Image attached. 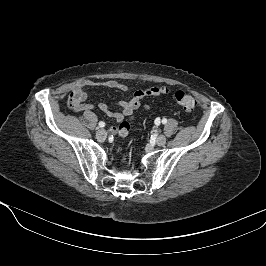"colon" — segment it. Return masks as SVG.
<instances>
[{
  "label": "colon",
  "mask_w": 266,
  "mask_h": 266,
  "mask_svg": "<svg viewBox=\"0 0 266 266\" xmlns=\"http://www.w3.org/2000/svg\"><path fill=\"white\" fill-rule=\"evenodd\" d=\"M174 98L177 104L185 111H192L196 107V100L191 95L187 94L182 90H178L174 94ZM69 105L72 107L73 105V97L70 95ZM131 123L130 121H123L120 123L118 127V133L120 136L128 135L130 131Z\"/></svg>",
  "instance_id": "obj_1"
}]
</instances>
